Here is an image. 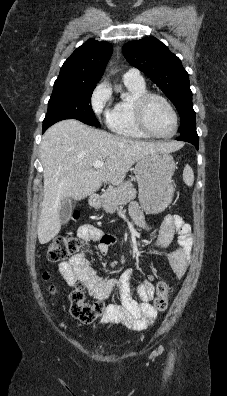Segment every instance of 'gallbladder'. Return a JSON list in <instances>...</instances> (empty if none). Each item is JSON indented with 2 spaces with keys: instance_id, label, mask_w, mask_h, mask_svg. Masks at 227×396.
Masks as SVG:
<instances>
[{
  "instance_id": "gallbladder-1",
  "label": "gallbladder",
  "mask_w": 227,
  "mask_h": 396,
  "mask_svg": "<svg viewBox=\"0 0 227 396\" xmlns=\"http://www.w3.org/2000/svg\"><path fill=\"white\" fill-rule=\"evenodd\" d=\"M72 214V199L68 197L61 205L60 208V220L62 224L69 221Z\"/></svg>"
}]
</instances>
